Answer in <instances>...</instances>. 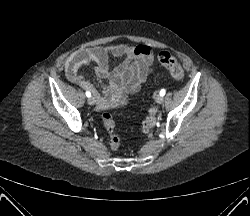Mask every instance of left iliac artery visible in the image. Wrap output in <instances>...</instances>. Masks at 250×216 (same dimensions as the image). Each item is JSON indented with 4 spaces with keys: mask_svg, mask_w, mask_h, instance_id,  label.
Wrapping results in <instances>:
<instances>
[{
    "mask_svg": "<svg viewBox=\"0 0 250 216\" xmlns=\"http://www.w3.org/2000/svg\"><path fill=\"white\" fill-rule=\"evenodd\" d=\"M165 93H166L165 89H162V90L160 91V95H161V96H164Z\"/></svg>",
    "mask_w": 250,
    "mask_h": 216,
    "instance_id": "44dca946",
    "label": "left iliac artery"
}]
</instances>
